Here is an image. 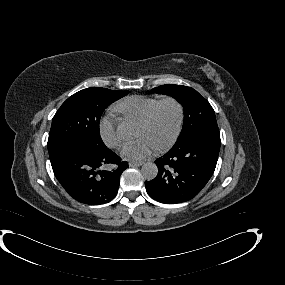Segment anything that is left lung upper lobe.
Instances as JSON below:
<instances>
[{
	"label": "left lung upper lobe",
	"instance_id": "5c2ea615",
	"mask_svg": "<svg viewBox=\"0 0 285 285\" xmlns=\"http://www.w3.org/2000/svg\"><path fill=\"white\" fill-rule=\"evenodd\" d=\"M155 93L175 98L184 108V122L177 142L209 127H217L214 110L209 102L193 88L166 84L153 88Z\"/></svg>",
	"mask_w": 285,
	"mask_h": 285
}]
</instances>
